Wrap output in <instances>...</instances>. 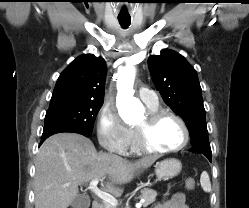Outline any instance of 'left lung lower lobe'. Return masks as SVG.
<instances>
[{
	"instance_id": "obj_1",
	"label": "left lung lower lobe",
	"mask_w": 249,
	"mask_h": 208,
	"mask_svg": "<svg viewBox=\"0 0 249 208\" xmlns=\"http://www.w3.org/2000/svg\"><path fill=\"white\" fill-rule=\"evenodd\" d=\"M189 151H192L194 153H201L205 155L209 161L211 162L212 152L211 150L201 149V148H191Z\"/></svg>"
}]
</instances>
